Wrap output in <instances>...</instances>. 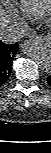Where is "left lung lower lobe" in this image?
<instances>
[{"label":"left lung lower lobe","instance_id":"left-lung-lower-lobe-1","mask_svg":"<svg viewBox=\"0 0 51 153\" xmlns=\"http://www.w3.org/2000/svg\"><path fill=\"white\" fill-rule=\"evenodd\" d=\"M47 82L51 86V75L47 78Z\"/></svg>","mask_w":51,"mask_h":153}]
</instances>
